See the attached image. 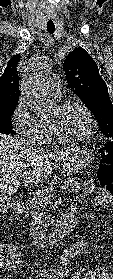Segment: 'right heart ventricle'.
<instances>
[{
	"label": "right heart ventricle",
	"mask_w": 113,
	"mask_h": 279,
	"mask_svg": "<svg viewBox=\"0 0 113 279\" xmlns=\"http://www.w3.org/2000/svg\"><path fill=\"white\" fill-rule=\"evenodd\" d=\"M39 121L41 132L37 141L48 142L50 140L51 133L48 129L47 124L42 119H39Z\"/></svg>",
	"instance_id": "1"
}]
</instances>
